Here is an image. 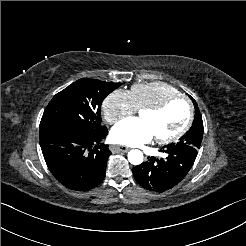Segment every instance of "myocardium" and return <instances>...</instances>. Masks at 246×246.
<instances>
[{"label": "myocardium", "mask_w": 246, "mask_h": 246, "mask_svg": "<svg viewBox=\"0 0 246 246\" xmlns=\"http://www.w3.org/2000/svg\"><path fill=\"white\" fill-rule=\"evenodd\" d=\"M176 100H182L183 102H185V104L187 106L186 120H185L183 126L178 131L173 133L172 135L167 136V137H155L156 141L160 144L172 143V142L176 141L177 139H179L183 134H185L188 131V129L191 126V123L193 120V115H194L193 106H192L191 101L185 95L176 94L174 96L166 98L165 100L161 101L160 103H158L156 105L145 107L140 111V112L147 111L150 113L157 114V113L162 112L171 103L175 102Z\"/></svg>", "instance_id": "f54148a6"}]
</instances>
